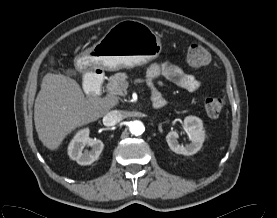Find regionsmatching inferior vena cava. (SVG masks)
<instances>
[{
	"label": "inferior vena cava",
	"instance_id": "602c4592",
	"mask_svg": "<svg viewBox=\"0 0 277 218\" xmlns=\"http://www.w3.org/2000/svg\"><path fill=\"white\" fill-rule=\"evenodd\" d=\"M123 119V115L119 110H112L103 117L105 126H113Z\"/></svg>",
	"mask_w": 277,
	"mask_h": 218
}]
</instances>
